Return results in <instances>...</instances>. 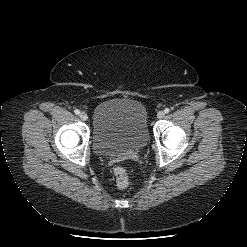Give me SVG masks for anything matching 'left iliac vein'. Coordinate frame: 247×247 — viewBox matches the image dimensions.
Returning a JSON list of instances; mask_svg holds the SVG:
<instances>
[{
  "label": "left iliac vein",
  "instance_id": "4c4485c4",
  "mask_svg": "<svg viewBox=\"0 0 247 247\" xmlns=\"http://www.w3.org/2000/svg\"><path fill=\"white\" fill-rule=\"evenodd\" d=\"M164 116H165V112L164 111H159L157 113V118H159V119H162Z\"/></svg>",
  "mask_w": 247,
  "mask_h": 247
}]
</instances>
